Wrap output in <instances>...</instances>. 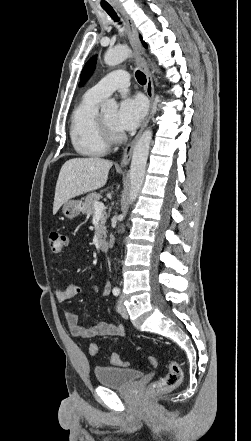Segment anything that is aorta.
Returning <instances> with one entry per match:
<instances>
[{"instance_id": "aorta-1", "label": "aorta", "mask_w": 251, "mask_h": 441, "mask_svg": "<svg viewBox=\"0 0 251 441\" xmlns=\"http://www.w3.org/2000/svg\"><path fill=\"white\" fill-rule=\"evenodd\" d=\"M131 55V51L126 47H117L108 50L104 55V62L108 66H115ZM118 105L114 99L105 101L101 110L103 112H115ZM152 139V131L147 129L143 132L139 140L134 146L132 161L130 166V190H129V202L133 203L143 185L146 163L150 149V143Z\"/></svg>"}]
</instances>
